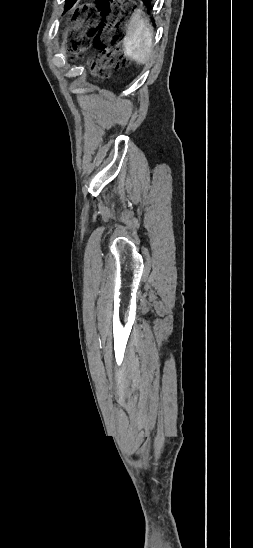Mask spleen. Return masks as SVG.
I'll return each mask as SVG.
<instances>
[{
  "instance_id": "spleen-1",
  "label": "spleen",
  "mask_w": 253,
  "mask_h": 548,
  "mask_svg": "<svg viewBox=\"0 0 253 548\" xmlns=\"http://www.w3.org/2000/svg\"><path fill=\"white\" fill-rule=\"evenodd\" d=\"M152 29L137 10L131 17L123 40L124 54L139 64L145 63L152 52Z\"/></svg>"
}]
</instances>
